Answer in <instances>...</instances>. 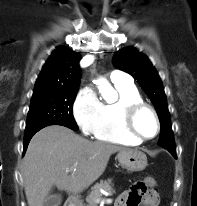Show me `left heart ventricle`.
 I'll return each mask as SVG.
<instances>
[{"instance_id": "b2bd125f", "label": "left heart ventricle", "mask_w": 197, "mask_h": 206, "mask_svg": "<svg viewBox=\"0 0 197 206\" xmlns=\"http://www.w3.org/2000/svg\"><path fill=\"white\" fill-rule=\"evenodd\" d=\"M138 132L146 137L153 136L156 132V122L149 111H142L136 118Z\"/></svg>"}]
</instances>
